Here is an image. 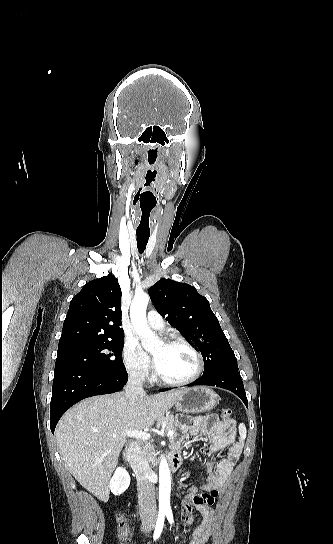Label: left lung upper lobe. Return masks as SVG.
Masks as SVG:
<instances>
[{"instance_id": "left-lung-upper-lobe-1", "label": "left lung upper lobe", "mask_w": 333, "mask_h": 544, "mask_svg": "<svg viewBox=\"0 0 333 544\" xmlns=\"http://www.w3.org/2000/svg\"><path fill=\"white\" fill-rule=\"evenodd\" d=\"M155 309L180 333L192 340L204 360V373L238 369L237 359L208 300L195 287L161 279L149 289Z\"/></svg>"}]
</instances>
